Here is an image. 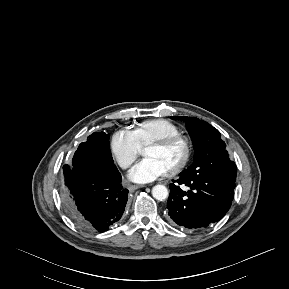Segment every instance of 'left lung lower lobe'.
Here are the masks:
<instances>
[{"mask_svg": "<svg viewBox=\"0 0 289 289\" xmlns=\"http://www.w3.org/2000/svg\"><path fill=\"white\" fill-rule=\"evenodd\" d=\"M174 183L190 187L184 192L177 184H170L167 220L174 226L198 229L221 220L234 198L235 182L219 174L187 177L180 174Z\"/></svg>", "mask_w": 289, "mask_h": 289, "instance_id": "left-lung-lower-lobe-1", "label": "left lung lower lobe"}]
</instances>
